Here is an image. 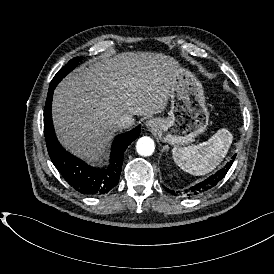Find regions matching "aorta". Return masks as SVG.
Returning a JSON list of instances; mask_svg holds the SVG:
<instances>
[{"label": "aorta", "instance_id": "obj_1", "mask_svg": "<svg viewBox=\"0 0 274 274\" xmlns=\"http://www.w3.org/2000/svg\"><path fill=\"white\" fill-rule=\"evenodd\" d=\"M154 149V141L150 137L144 136L137 141L136 150L142 156L152 155Z\"/></svg>", "mask_w": 274, "mask_h": 274}]
</instances>
